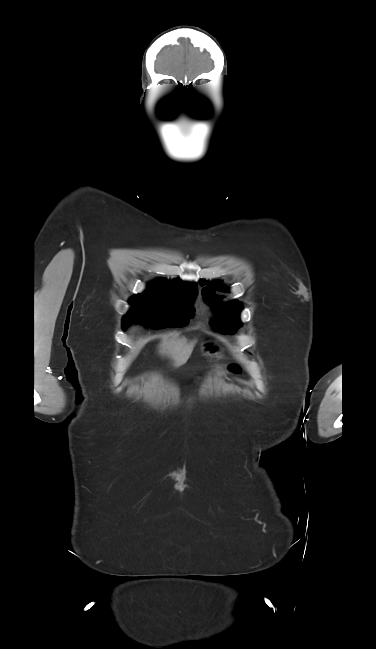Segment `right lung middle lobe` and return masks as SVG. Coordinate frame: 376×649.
<instances>
[{
  "label": "right lung middle lobe",
  "instance_id": "obj_1",
  "mask_svg": "<svg viewBox=\"0 0 376 649\" xmlns=\"http://www.w3.org/2000/svg\"><path fill=\"white\" fill-rule=\"evenodd\" d=\"M197 294L195 283L181 280H157L147 290L129 301L132 306L123 317V330L133 323L153 328L183 327L194 315L192 306Z\"/></svg>",
  "mask_w": 376,
  "mask_h": 649
}]
</instances>
